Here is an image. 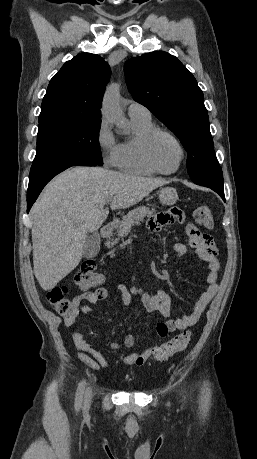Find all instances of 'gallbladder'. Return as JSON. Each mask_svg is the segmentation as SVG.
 I'll use <instances>...</instances> for the list:
<instances>
[{"instance_id": "gallbladder-1", "label": "gallbladder", "mask_w": 257, "mask_h": 459, "mask_svg": "<svg viewBox=\"0 0 257 459\" xmlns=\"http://www.w3.org/2000/svg\"><path fill=\"white\" fill-rule=\"evenodd\" d=\"M100 250V236L98 233H93L88 236L84 247L83 256L86 258H92L97 256Z\"/></svg>"}]
</instances>
